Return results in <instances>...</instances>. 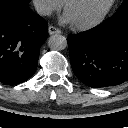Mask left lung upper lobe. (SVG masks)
I'll list each match as a JSON object with an SVG mask.
<instances>
[{"label":"left lung upper lobe","mask_w":128,"mask_h":128,"mask_svg":"<svg viewBox=\"0 0 128 128\" xmlns=\"http://www.w3.org/2000/svg\"><path fill=\"white\" fill-rule=\"evenodd\" d=\"M123 10H128V0H124L116 13L121 12Z\"/></svg>","instance_id":"obj_1"}]
</instances>
